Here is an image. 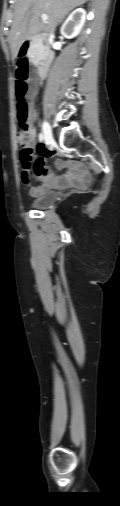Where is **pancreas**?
I'll list each match as a JSON object with an SVG mask.
<instances>
[{
	"label": "pancreas",
	"mask_w": 120,
	"mask_h": 506,
	"mask_svg": "<svg viewBox=\"0 0 120 506\" xmlns=\"http://www.w3.org/2000/svg\"><path fill=\"white\" fill-rule=\"evenodd\" d=\"M43 52L44 48L41 45L35 44L30 48L28 55L32 62H36L40 59Z\"/></svg>",
	"instance_id": "obj_1"
}]
</instances>
